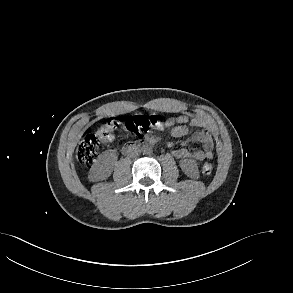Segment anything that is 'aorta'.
<instances>
[{
    "label": "aorta",
    "instance_id": "762f6f07",
    "mask_svg": "<svg viewBox=\"0 0 293 293\" xmlns=\"http://www.w3.org/2000/svg\"><path fill=\"white\" fill-rule=\"evenodd\" d=\"M142 152H143V154H145V155H150V154H152V152H153V148H152V146H150V145H144V146L142 147Z\"/></svg>",
    "mask_w": 293,
    "mask_h": 293
}]
</instances>
